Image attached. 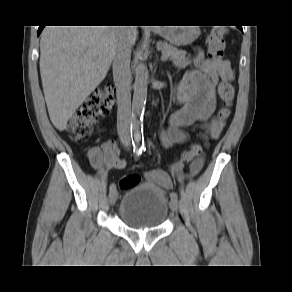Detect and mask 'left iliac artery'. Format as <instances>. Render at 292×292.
I'll use <instances>...</instances> for the list:
<instances>
[{
  "instance_id": "obj_1",
  "label": "left iliac artery",
  "mask_w": 292,
  "mask_h": 292,
  "mask_svg": "<svg viewBox=\"0 0 292 292\" xmlns=\"http://www.w3.org/2000/svg\"><path fill=\"white\" fill-rule=\"evenodd\" d=\"M170 198H171V200H177V198H178L177 193H175V192L170 193Z\"/></svg>"
}]
</instances>
